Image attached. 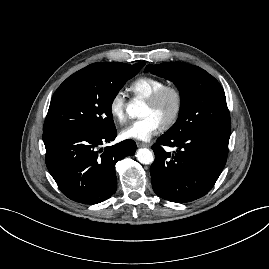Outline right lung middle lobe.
I'll return each mask as SVG.
<instances>
[{
	"label": "right lung middle lobe",
	"instance_id": "obj_1",
	"mask_svg": "<svg viewBox=\"0 0 269 269\" xmlns=\"http://www.w3.org/2000/svg\"><path fill=\"white\" fill-rule=\"evenodd\" d=\"M137 67L87 66L68 77L54 93L43 132L76 128L97 134L115 128L111 105Z\"/></svg>",
	"mask_w": 269,
	"mask_h": 269
}]
</instances>
